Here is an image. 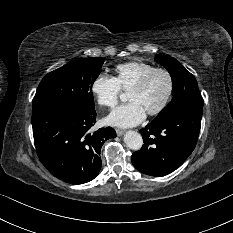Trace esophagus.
Here are the masks:
<instances>
[{
	"instance_id": "1",
	"label": "esophagus",
	"mask_w": 233,
	"mask_h": 233,
	"mask_svg": "<svg viewBox=\"0 0 233 233\" xmlns=\"http://www.w3.org/2000/svg\"><path fill=\"white\" fill-rule=\"evenodd\" d=\"M116 133L118 136H122L125 133V131L122 129H116Z\"/></svg>"
}]
</instances>
